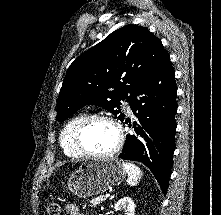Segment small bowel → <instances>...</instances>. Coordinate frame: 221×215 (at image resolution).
<instances>
[{"instance_id":"obj_1","label":"small bowel","mask_w":221,"mask_h":215,"mask_svg":"<svg viewBox=\"0 0 221 215\" xmlns=\"http://www.w3.org/2000/svg\"><path fill=\"white\" fill-rule=\"evenodd\" d=\"M66 212L68 215H84L75 204H67Z\"/></svg>"}]
</instances>
